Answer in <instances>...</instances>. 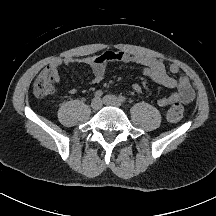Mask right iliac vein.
Listing matches in <instances>:
<instances>
[{"instance_id":"obj_1","label":"right iliac vein","mask_w":216,"mask_h":216,"mask_svg":"<svg viewBox=\"0 0 216 216\" xmlns=\"http://www.w3.org/2000/svg\"><path fill=\"white\" fill-rule=\"evenodd\" d=\"M91 107L93 110H99L102 107V101L100 98H94L91 102Z\"/></svg>"}]
</instances>
